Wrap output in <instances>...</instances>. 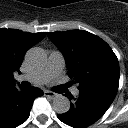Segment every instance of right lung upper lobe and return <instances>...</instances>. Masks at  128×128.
Masks as SVG:
<instances>
[{
    "label": "right lung upper lobe",
    "instance_id": "cb5924a9",
    "mask_svg": "<svg viewBox=\"0 0 128 128\" xmlns=\"http://www.w3.org/2000/svg\"><path fill=\"white\" fill-rule=\"evenodd\" d=\"M45 36L46 32L0 29V91L15 84L13 73L19 71L26 51Z\"/></svg>",
    "mask_w": 128,
    "mask_h": 128
}]
</instances>
